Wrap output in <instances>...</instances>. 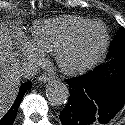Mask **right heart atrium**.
Listing matches in <instances>:
<instances>
[{"instance_id":"1","label":"right heart atrium","mask_w":125,"mask_h":125,"mask_svg":"<svg viewBox=\"0 0 125 125\" xmlns=\"http://www.w3.org/2000/svg\"><path fill=\"white\" fill-rule=\"evenodd\" d=\"M20 50L22 55L29 61L36 62L41 58V52L28 39H23Z\"/></svg>"}]
</instances>
